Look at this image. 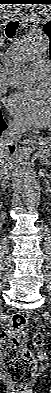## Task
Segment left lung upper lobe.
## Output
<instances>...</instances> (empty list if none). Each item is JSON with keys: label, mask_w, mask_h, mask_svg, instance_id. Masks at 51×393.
Returning <instances> with one entry per match:
<instances>
[{"label": "left lung upper lobe", "mask_w": 51, "mask_h": 393, "mask_svg": "<svg viewBox=\"0 0 51 393\" xmlns=\"http://www.w3.org/2000/svg\"><path fill=\"white\" fill-rule=\"evenodd\" d=\"M43 30L50 38V54H51V22H48L45 25H43Z\"/></svg>", "instance_id": "1"}]
</instances>
